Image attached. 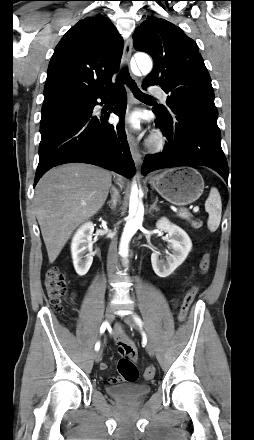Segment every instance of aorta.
Segmentation results:
<instances>
[{
  "mask_svg": "<svg viewBox=\"0 0 254 440\" xmlns=\"http://www.w3.org/2000/svg\"><path fill=\"white\" fill-rule=\"evenodd\" d=\"M135 60L138 68L144 75H147L151 72L153 67L152 60L147 54H136ZM137 192L138 189L134 186L130 196L129 215L123 229L119 245V254L124 259L125 263H127V257L129 253V242L134 234L137 232V230L142 226L144 217V206L141 200L142 192L141 190H139V194H137Z\"/></svg>",
  "mask_w": 254,
  "mask_h": 440,
  "instance_id": "762f6f07",
  "label": "aorta"
}]
</instances>
